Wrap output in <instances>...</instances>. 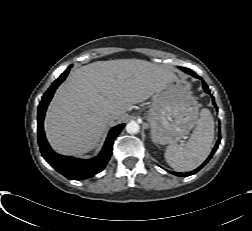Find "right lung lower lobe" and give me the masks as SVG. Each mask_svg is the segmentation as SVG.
Here are the masks:
<instances>
[{
    "mask_svg": "<svg viewBox=\"0 0 252 231\" xmlns=\"http://www.w3.org/2000/svg\"><path fill=\"white\" fill-rule=\"evenodd\" d=\"M65 70L60 77L53 82L51 87L44 93L42 100L38 107V142L40 151L44 159L54 167L59 173L71 180L87 179L95 174L101 172L108 163L112 155V146L114 139L118 136L120 131L124 128V124H120L112 128L108 134L104 147L97 157L89 160L77 159L69 156H62L55 153L49 146L45 134L43 121L46 113L47 106L52 99V96L57 87L65 80L70 68Z\"/></svg>",
    "mask_w": 252,
    "mask_h": 231,
    "instance_id": "1",
    "label": "right lung lower lobe"
}]
</instances>
